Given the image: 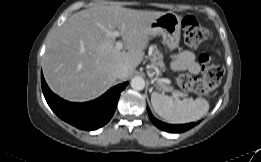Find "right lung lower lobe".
<instances>
[{"label":"right lung lower lobe","instance_id":"1","mask_svg":"<svg viewBox=\"0 0 261 162\" xmlns=\"http://www.w3.org/2000/svg\"><path fill=\"white\" fill-rule=\"evenodd\" d=\"M128 82L119 84L96 100L85 103H72L55 95L47 86L43 74L41 85L44 97L53 112L63 121L83 130H96L112 118L120 93Z\"/></svg>","mask_w":261,"mask_h":162}]
</instances>
